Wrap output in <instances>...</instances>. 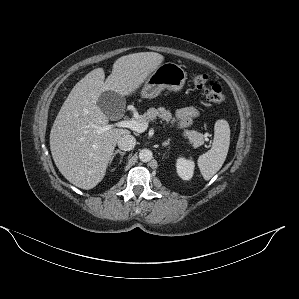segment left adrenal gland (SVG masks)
Here are the masks:
<instances>
[{
    "mask_svg": "<svg viewBox=\"0 0 299 299\" xmlns=\"http://www.w3.org/2000/svg\"><path fill=\"white\" fill-rule=\"evenodd\" d=\"M169 144H170V139H168L167 141L163 142L162 145H163L164 147H166V146H168Z\"/></svg>",
    "mask_w": 299,
    "mask_h": 299,
    "instance_id": "1",
    "label": "left adrenal gland"
}]
</instances>
